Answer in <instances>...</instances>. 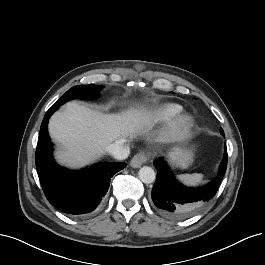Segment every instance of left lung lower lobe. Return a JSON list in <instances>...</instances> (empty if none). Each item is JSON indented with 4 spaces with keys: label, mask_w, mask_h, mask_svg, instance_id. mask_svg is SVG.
<instances>
[{
    "label": "left lung lower lobe",
    "mask_w": 265,
    "mask_h": 265,
    "mask_svg": "<svg viewBox=\"0 0 265 265\" xmlns=\"http://www.w3.org/2000/svg\"><path fill=\"white\" fill-rule=\"evenodd\" d=\"M221 134L224 136L223 131ZM154 165L158 170L152 200L158 211L169 219H186L202 211L216 195L227 168V150L218 176L204 187L188 188L179 183L162 158Z\"/></svg>",
    "instance_id": "1"
}]
</instances>
